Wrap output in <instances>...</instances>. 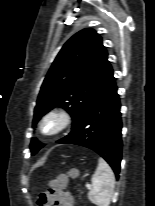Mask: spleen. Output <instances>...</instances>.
<instances>
[{
    "label": "spleen",
    "mask_w": 155,
    "mask_h": 206,
    "mask_svg": "<svg viewBox=\"0 0 155 206\" xmlns=\"http://www.w3.org/2000/svg\"><path fill=\"white\" fill-rule=\"evenodd\" d=\"M91 180L93 186L88 193L89 201L97 206H109L114 193L115 176L104 159L99 158Z\"/></svg>",
    "instance_id": "obj_1"
}]
</instances>
